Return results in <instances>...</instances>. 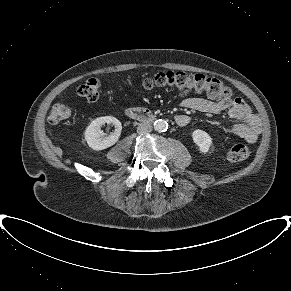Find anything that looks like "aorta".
Masks as SVG:
<instances>
[{
    "instance_id": "obj_1",
    "label": "aorta",
    "mask_w": 291,
    "mask_h": 291,
    "mask_svg": "<svg viewBox=\"0 0 291 291\" xmlns=\"http://www.w3.org/2000/svg\"><path fill=\"white\" fill-rule=\"evenodd\" d=\"M154 129L158 132H165L168 129V123L162 119L154 122Z\"/></svg>"
}]
</instances>
